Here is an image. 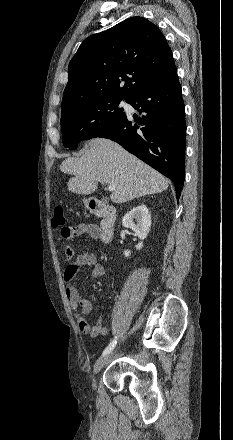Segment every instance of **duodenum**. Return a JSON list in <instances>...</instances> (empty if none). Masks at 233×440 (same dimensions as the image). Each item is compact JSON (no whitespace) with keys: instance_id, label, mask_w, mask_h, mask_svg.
Returning <instances> with one entry per match:
<instances>
[{"instance_id":"duodenum-1","label":"duodenum","mask_w":233,"mask_h":440,"mask_svg":"<svg viewBox=\"0 0 233 440\" xmlns=\"http://www.w3.org/2000/svg\"><path fill=\"white\" fill-rule=\"evenodd\" d=\"M94 216L101 218L99 225V239L102 243H109L113 240L116 223L115 208L96 200L90 204Z\"/></svg>"}]
</instances>
